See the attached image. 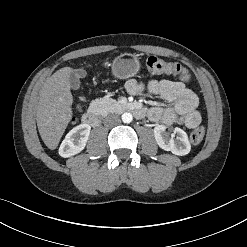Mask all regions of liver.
Returning a JSON list of instances; mask_svg holds the SVG:
<instances>
[{"instance_id": "6515ba94", "label": "liver", "mask_w": 247, "mask_h": 247, "mask_svg": "<svg viewBox=\"0 0 247 247\" xmlns=\"http://www.w3.org/2000/svg\"><path fill=\"white\" fill-rule=\"evenodd\" d=\"M73 72L85 73V70L61 68L46 79L39 92L37 126L44 144L51 150L57 148L73 115V96L69 79Z\"/></svg>"}]
</instances>
